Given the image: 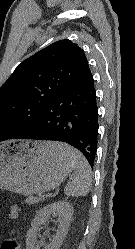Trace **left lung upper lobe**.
Wrapping results in <instances>:
<instances>
[{"label": "left lung upper lobe", "mask_w": 135, "mask_h": 249, "mask_svg": "<svg viewBox=\"0 0 135 249\" xmlns=\"http://www.w3.org/2000/svg\"><path fill=\"white\" fill-rule=\"evenodd\" d=\"M90 73L84 50L68 39L23 61L0 88V142L32 131L47 106Z\"/></svg>", "instance_id": "obj_1"}]
</instances>
